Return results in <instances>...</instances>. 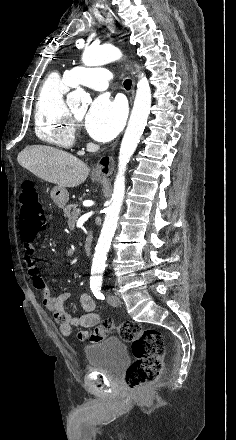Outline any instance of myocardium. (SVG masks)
Segmentation results:
<instances>
[{"label":"myocardium","instance_id":"1","mask_svg":"<svg viewBox=\"0 0 236 440\" xmlns=\"http://www.w3.org/2000/svg\"><path fill=\"white\" fill-rule=\"evenodd\" d=\"M70 119H71L73 128L78 129L80 127V120L77 119L73 113H70Z\"/></svg>","mask_w":236,"mask_h":440}]
</instances>
